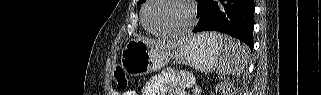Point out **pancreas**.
<instances>
[{
	"label": "pancreas",
	"instance_id": "cf45deb5",
	"mask_svg": "<svg viewBox=\"0 0 321 95\" xmlns=\"http://www.w3.org/2000/svg\"><path fill=\"white\" fill-rule=\"evenodd\" d=\"M221 87H224V85H223V86H222V85H221V86H218V89H220Z\"/></svg>",
	"mask_w": 321,
	"mask_h": 95
}]
</instances>
